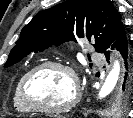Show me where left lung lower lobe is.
<instances>
[{
	"label": "left lung lower lobe",
	"instance_id": "0a47b994",
	"mask_svg": "<svg viewBox=\"0 0 133 118\" xmlns=\"http://www.w3.org/2000/svg\"><path fill=\"white\" fill-rule=\"evenodd\" d=\"M110 46L112 47V49L116 47L117 50L120 51V54L122 55V58L124 60L125 72L118 89H121V91H123L124 89H130L132 91L133 89V86H132L133 85V51L131 49L130 42L127 39V35L123 24H121L114 31L108 44L104 47V49L101 52L105 55L107 60L109 59V51H107V49H109Z\"/></svg>",
	"mask_w": 133,
	"mask_h": 118
}]
</instances>
